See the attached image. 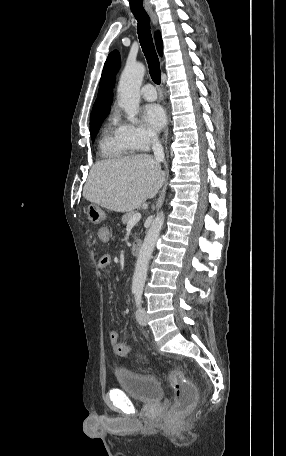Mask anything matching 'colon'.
<instances>
[{"instance_id": "5ec220e1", "label": "colon", "mask_w": 286, "mask_h": 456, "mask_svg": "<svg viewBox=\"0 0 286 456\" xmlns=\"http://www.w3.org/2000/svg\"><path fill=\"white\" fill-rule=\"evenodd\" d=\"M121 351L124 355H129L132 350L129 346H125L121 348ZM168 381L175 391L174 412L190 410L196 402V387L192 383L186 382L182 374L176 370L168 375Z\"/></svg>"}]
</instances>
